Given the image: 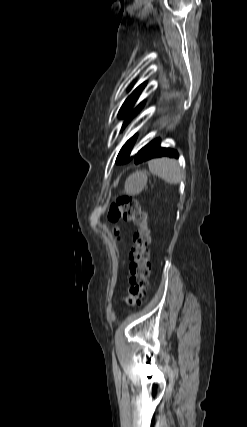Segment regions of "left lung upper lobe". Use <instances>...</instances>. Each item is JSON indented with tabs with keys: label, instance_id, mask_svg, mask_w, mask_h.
Here are the masks:
<instances>
[{
	"label": "left lung upper lobe",
	"instance_id": "1",
	"mask_svg": "<svg viewBox=\"0 0 247 427\" xmlns=\"http://www.w3.org/2000/svg\"><path fill=\"white\" fill-rule=\"evenodd\" d=\"M145 85L146 83H143L140 86H138L123 103L119 111V116L125 117V121L123 123L122 128H124L126 124L131 120V118L134 115H136L140 111V109L143 107V104L141 103L133 111H131L132 106L134 105L135 101L137 100L138 96L140 95ZM135 139H136V135L133 136L131 139H129L126 142V144L122 147V149L120 150L117 156L116 163H125L132 159V157H129V155L134 145Z\"/></svg>",
	"mask_w": 247,
	"mask_h": 427
}]
</instances>
